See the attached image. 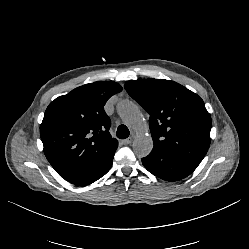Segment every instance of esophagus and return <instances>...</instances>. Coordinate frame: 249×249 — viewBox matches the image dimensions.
<instances>
[{
  "mask_svg": "<svg viewBox=\"0 0 249 249\" xmlns=\"http://www.w3.org/2000/svg\"><path fill=\"white\" fill-rule=\"evenodd\" d=\"M131 142H132V138H127V139L121 141V143H122L123 145H128V144H130Z\"/></svg>",
  "mask_w": 249,
  "mask_h": 249,
  "instance_id": "34e87169",
  "label": "esophagus"
}]
</instances>
